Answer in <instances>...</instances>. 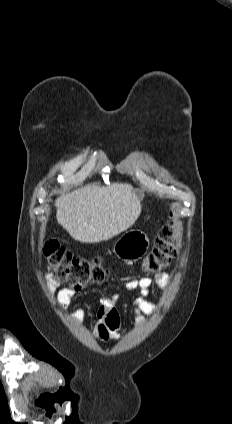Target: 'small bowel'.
<instances>
[{
  "instance_id": "1",
  "label": "small bowel",
  "mask_w": 232,
  "mask_h": 424,
  "mask_svg": "<svg viewBox=\"0 0 232 424\" xmlns=\"http://www.w3.org/2000/svg\"><path fill=\"white\" fill-rule=\"evenodd\" d=\"M173 279V273H157L154 278L143 277L137 280H131L128 288L137 290L140 294L134 301V312L139 316L152 317L157 313V307L147 298L151 293L152 284H156L161 290L168 289ZM51 289H56L54 283L50 284ZM84 286L79 288L65 287L58 292V303L62 309L67 308L72 298L82 291ZM85 316V309H76L72 317L75 321H80ZM120 318L118 311L114 307L113 298H103L102 304L96 312V322L94 326V335L102 342L116 340L119 337Z\"/></svg>"
}]
</instances>
